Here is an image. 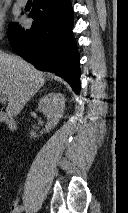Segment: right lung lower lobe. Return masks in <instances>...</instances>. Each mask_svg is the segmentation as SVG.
<instances>
[{"label":"right lung lower lobe","instance_id":"obj_1","mask_svg":"<svg viewBox=\"0 0 128 213\" xmlns=\"http://www.w3.org/2000/svg\"><path fill=\"white\" fill-rule=\"evenodd\" d=\"M30 30L16 25L8 35L12 49L39 69L64 78L80 92L79 53L73 36L71 0H33Z\"/></svg>","mask_w":128,"mask_h":213}]
</instances>
